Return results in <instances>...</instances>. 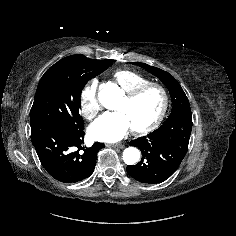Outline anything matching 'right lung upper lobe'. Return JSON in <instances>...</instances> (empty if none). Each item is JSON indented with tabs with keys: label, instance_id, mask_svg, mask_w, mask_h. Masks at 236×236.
Instances as JSON below:
<instances>
[{
	"label": "right lung upper lobe",
	"instance_id": "cb5924a9",
	"mask_svg": "<svg viewBox=\"0 0 236 236\" xmlns=\"http://www.w3.org/2000/svg\"><path fill=\"white\" fill-rule=\"evenodd\" d=\"M101 62L102 60L90 59L83 55H71V56L61 59L56 64L51 66V68H59V69L69 70V71H73V70L87 71L94 68Z\"/></svg>",
	"mask_w": 236,
	"mask_h": 236
}]
</instances>
